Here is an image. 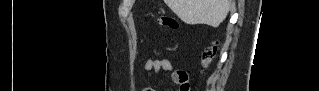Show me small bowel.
<instances>
[{
    "instance_id": "obj_1",
    "label": "small bowel",
    "mask_w": 319,
    "mask_h": 91,
    "mask_svg": "<svg viewBox=\"0 0 319 91\" xmlns=\"http://www.w3.org/2000/svg\"><path fill=\"white\" fill-rule=\"evenodd\" d=\"M144 67H145V70H147V71H152V70L167 71V70H171L173 68V64L168 59H159V60L148 59L145 62ZM179 74H180V72L173 74V81L174 82L178 83Z\"/></svg>"
}]
</instances>
